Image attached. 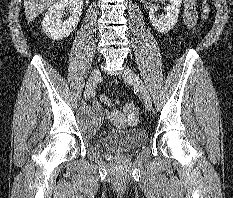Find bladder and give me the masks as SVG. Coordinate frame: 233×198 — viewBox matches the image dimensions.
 I'll list each match as a JSON object with an SVG mask.
<instances>
[{
	"mask_svg": "<svg viewBox=\"0 0 233 198\" xmlns=\"http://www.w3.org/2000/svg\"><path fill=\"white\" fill-rule=\"evenodd\" d=\"M103 119V110L98 106H93L82 113L81 124L90 136L97 139L100 145L110 151L126 153L143 145L147 141V132L142 127L102 131Z\"/></svg>",
	"mask_w": 233,
	"mask_h": 198,
	"instance_id": "bladder-1",
	"label": "bladder"
}]
</instances>
